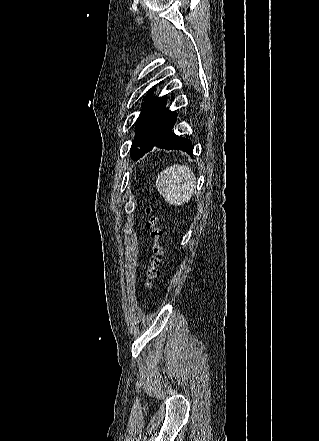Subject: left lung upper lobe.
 I'll return each mask as SVG.
<instances>
[{
	"label": "left lung upper lobe",
	"instance_id": "left-lung-upper-lobe-1",
	"mask_svg": "<svg viewBox=\"0 0 319 441\" xmlns=\"http://www.w3.org/2000/svg\"><path fill=\"white\" fill-rule=\"evenodd\" d=\"M174 114L175 112L166 108V97L152 98V92L147 96L136 120V134L130 149L133 160H138L142 156L153 136Z\"/></svg>",
	"mask_w": 319,
	"mask_h": 441
}]
</instances>
